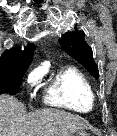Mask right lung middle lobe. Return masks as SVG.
<instances>
[{
    "label": "right lung middle lobe",
    "instance_id": "obj_1",
    "mask_svg": "<svg viewBox=\"0 0 117 136\" xmlns=\"http://www.w3.org/2000/svg\"><path fill=\"white\" fill-rule=\"evenodd\" d=\"M26 69L27 67L0 68V94H17Z\"/></svg>",
    "mask_w": 117,
    "mask_h": 136
}]
</instances>
